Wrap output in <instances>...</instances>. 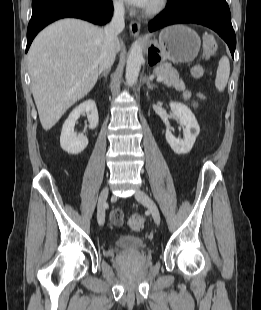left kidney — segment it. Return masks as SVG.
<instances>
[{
	"mask_svg": "<svg viewBox=\"0 0 261 310\" xmlns=\"http://www.w3.org/2000/svg\"><path fill=\"white\" fill-rule=\"evenodd\" d=\"M170 108L173 116L179 120L183 127V139H177L168 129L165 137L171 149L176 154H187L192 149L196 137L200 132L198 122L192 111L184 104L179 102H170Z\"/></svg>",
	"mask_w": 261,
	"mask_h": 310,
	"instance_id": "1",
	"label": "left kidney"
}]
</instances>
